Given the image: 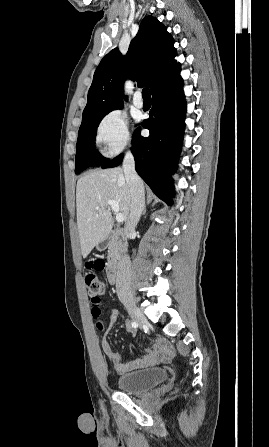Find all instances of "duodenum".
Masks as SVG:
<instances>
[{
	"mask_svg": "<svg viewBox=\"0 0 269 447\" xmlns=\"http://www.w3.org/2000/svg\"><path fill=\"white\" fill-rule=\"evenodd\" d=\"M107 240L115 242L119 249H123L125 247V236L122 230L120 229H112L108 232L106 236ZM118 263H112L107 268V278L109 283L115 284L118 279Z\"/></svg>",
	"mask_w": 269,
	"mask_h": 447,
	"instance_id": "obj_1",
	"label": "duodenum"
}]
</instances>
